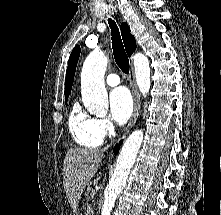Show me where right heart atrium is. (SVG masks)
Returning a JSON list of instances; mask_svg holds the SVG:
<instances>
[{"instance_id":"d8ad5b80","label":"right heart atrium","mask_w":221,"mask_h":215,"mask_svg":"<svg viewBox=\"0 0 221 215\" xmlns=\"http://www.w3.org/2000/svg\"><path fill=\"white\" fill-rule=\"evenodd\" d=\"M95 130L100 138L109 137L115 134L116 128L108 118H96Z\"/></svg>"}]
</instances>
